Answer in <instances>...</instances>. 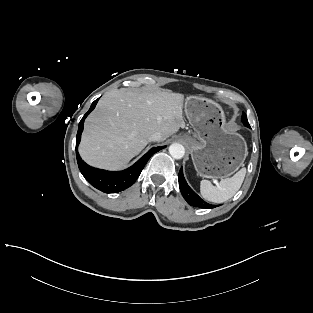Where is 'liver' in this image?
I'll return each mask as SVG.
<instances>
[{"label": "liver", "mask_w": 313, "mask_h": 313, "mask_svg": "<svg viewBox=\"0 0 313 313\" xmlns=\"http://www.w3.org/2000/svg\"><path fill=\"white\" fill-rule=\"evenodd\" d=\"M184 96L169 91L107 92L88 116L79 152L89 165L109 170L124 167L150 142L175 134L183 121Z\"/></svg>", "instance_id": "obj_1"}]
</instances>
